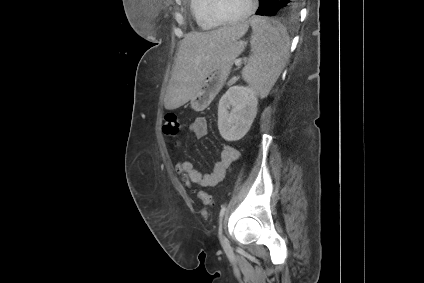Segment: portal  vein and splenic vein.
I'll return each instance as SVG.
<instances>
[{
  "label": "portal vein and splenic vein",
  "instance_id": "1",
  "mask_svg": "<svg viewBox=\"0 0 424 283\" xmlns=\"http://www.w3.org/2000/svg\"><path fill=\"white\" fill-rule=\"evenodd\" d=\"M241 64H242L241 59H237V60L235 61V65H236L237 67H240V66H241Z\"/></svg>",
  "mask_w": 424,
  "mask_h": 283
}]
</instances>
